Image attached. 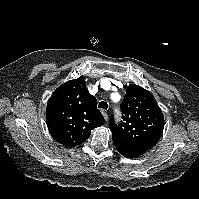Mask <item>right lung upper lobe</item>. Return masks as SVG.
I'll return each instance as SVG.
<instances>
[{"mask_svg":"<svg viewBox=\"0 0 199 199\" xmlns=\"http://www.w3.org/2000/svg\"><path fill=\"white\" fill-rule=\"evenodd\" d=\"M46 121L52 137L67 147L82 144L92 129L105 123L97 100L89 94L82 77L62 84L53 92L46 108Z\"/></svg>","mask_w":199,"mask_h":199,"instance_id":"cb5924a9","label":"right lung upper lobe"}]
</instances>
